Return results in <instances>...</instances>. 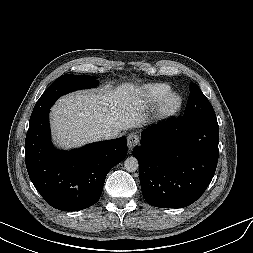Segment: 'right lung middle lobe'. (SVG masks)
<instances>
[{"label":"right lung middle lobe","mask_w":253,"mask_h":253,"mask_svg":"<svg viewBox=\"0 0 253 253\" xmlns=\"http://www.w3.org/2000/svg\"><path fill=\"white\" fill-rule=\"evenodd\" d=\"M97 85L98 80L94 76L71 74L60 76L39 98L32 111L30 120L49 110L60 96L71 91L96 87Z\"/></svg>","instance_id":"obj_1"}]
</instances>
